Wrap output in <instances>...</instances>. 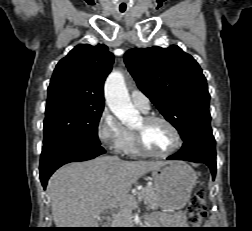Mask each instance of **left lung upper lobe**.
<instances>
[{
  "label": "left lung upper lobe",
  "instance_id": "left-lung-upper-lobe-1",
  "mask_svg": "<svg viewBox=\"0 0 252 231\" xmlns=\"http://www.w3.org/2000/svg\"><path fill=\"white\" fill-rule=\"evenodd\" d=\"M139 89L186 140L212 133L210 95L196 60L177 45L134 48L124 55Z\"/></svg>",
  "mask_w": 252,
  "mask_h": 231
}]
</instances>
